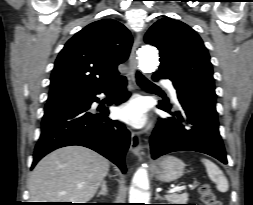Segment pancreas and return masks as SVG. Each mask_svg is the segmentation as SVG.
<instances>
[{
	"label": "pancreas",
	"mask_w": 253,
	"mask_h": 205,
	"mask_svg": "<svg viewBox=\"0 0 253 205\" xmlns=\"http://www.w3.org/2000/svg\"><path fill=\"white\" fill-rule=\"evenodd\" d=\"M165 199L172 204H185L188 201V194L187 193H170L165 196Z\"/></svg>",
	"instance_id": "pancreas-1"
}]
</instances>
